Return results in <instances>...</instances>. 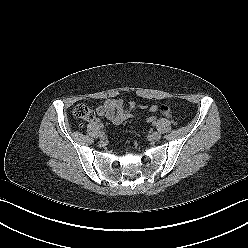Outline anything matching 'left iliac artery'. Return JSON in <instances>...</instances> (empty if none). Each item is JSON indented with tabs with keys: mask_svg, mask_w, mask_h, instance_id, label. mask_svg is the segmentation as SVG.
<instances>
[{
	"mask_svg": "<svg viewBox=\"0 0 248 248\" xmlns=\"http://www.w3.org/2000/svg\"><path fill=\"white\" fill-rule=\"evenodd\" d=\"M152 124L155 126L156 125V121H154Z\"/></svg>",
	"mask_w": 248,
	"mask_h": 248,
	"instance_id": "1",
	"label": "left iliac artery"
}]
</instances>
